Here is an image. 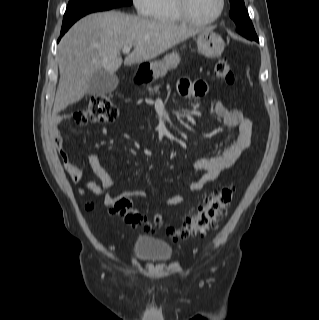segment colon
Here are the masks:
<instances>
[{
	"instance_id": "colon-1",
	"label": "colon",
	"mask_w": 319,
	"mask_h": 320,
	"mask_svg": "<svg viewBox=\"0 0 319 320\" xmlns=\"http://www.w3.org/2000/svg\"><path fill=\"white\" fill-rule=\"evenodd\" d=\"M215 79L231 85L235 81L234 73L226 59H220L214 68ZM117 108L113 104L110 94H97L90 98L86 107L76 114L79 124H104L113 122L117 118ZM234 189L223 187L209 195L198 210L184 218L179 228L168 227L167 233L174 239H185L206 235L214 229L227 215L233 198ZM114 210L118 212L126 224L151 231L161 220L159 217L148 218L136 209L129 198L122 197L114 203Z\"/></svg>"
}]
</instances>
